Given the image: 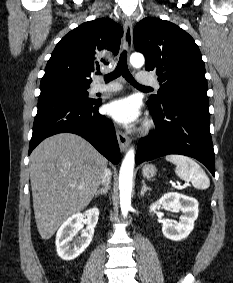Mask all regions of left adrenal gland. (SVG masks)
Returning <instances> with one entry per match:
<instances>
[{"mask_svg":"<svg viewBox=\"0 0 233 283\" xmlns=\"http://www.w3.org/2000/svg\"><path fill=\"white\" fill-rule=\"evenodd\" d=\"M147 191H151V189H150L149 187H147L145 181L142 180V189H141L140 195H141V196H144V194H145Z\"/></svg>","mask_w":233,"mask_h":283,"instance_id":"left-adrenal-gland-1","label":"left adrenal gland"}]
</instances>
